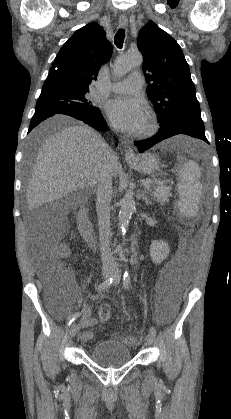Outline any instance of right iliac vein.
Wrapping results in <instances>:
<instances>
[{
  "instance_id": "obj_1",
  "label": "right iliac vein",
  "mask_w": 231,
  "mask_h": 419,
  "mask_svg": "<svg viewBox=\"0 0 231 419\" xmlns=\"http://www.w3.org/2000/svg\"><path fill=\"white\" fill-rule=\"evenodd\" d=\"M112 273H113V270L112 269H108V268H106V269H104L103 270V277L104 278H108L109 276H111L112 275ZM77 330H78V326H77V324L76 323H73L71 326H70V329H69V336L71 337V338H73L75 335H76V333H77Z\"/></svg>"
}]
</instances>
